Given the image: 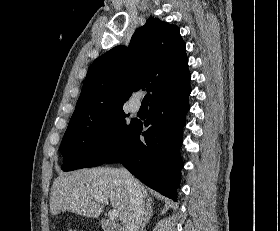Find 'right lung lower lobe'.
<instances>
[{
	"label": "right lung lower lobe",
	"instance_id": "obj_1",
	"mask_svg": "<svg viewBox=\"0 0 280 231\" xmlns=\"http://www.w3.org/2000/svg\"><path fill=\"white\" fill-rule=\"evenodd\" d=\"M190 92L187 85L151 102L144 122L149 129L142 133V124H134L117 154L105 163H122L144 184L176 201L183 167L179 150Z\"/></svg>",
	"mask_w": 280,
	"mask_h": 231
}]
</instances>
